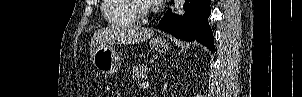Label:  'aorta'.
<instances>
[{
	"mask_svg": "<svg viewBox=\"0 0 302 97\" xmlns=\"http://www.w3.org/2000/svg\"><path fill=\"white\" fill-rule=\"evenodd\" d=\"M184 2V0H174V9L178 15L182 14Z\"/></svg>",
	"mask_w": 302,
	"mask_h": 97,
	"instance_id": "762f6f07",
	"label": "aorta"
}]
</instances>
